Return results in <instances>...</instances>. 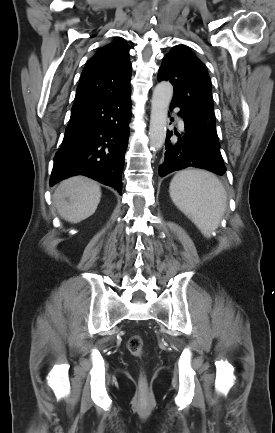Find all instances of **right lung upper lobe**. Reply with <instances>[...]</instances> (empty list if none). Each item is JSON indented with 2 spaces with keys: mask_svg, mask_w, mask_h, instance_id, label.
<instances>
[{
  "mask_svg": "<svg viewBox=\"0 0 275 433\" xmlns=\"http://www.w3.org/2000/svg\"><path fill=\"white\" fill-rule=\"evenodd\" d=\"M128 52L129 46L121 40L100 48L82 72L72 108L130 92L132 65Z\"/></svg>",
  "mask_w": 275,
  "mask_h": 433,
  "instance_id": "1",
  "label": "right lung upper lobe"
}]
</instances>
